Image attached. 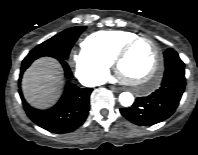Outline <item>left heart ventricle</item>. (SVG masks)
Wrapping results in <instances>:
<instances>
[{"label": "left heart ventricle", "instance_id": "obj_1", "mask_svg": "<svg viewBox=\"0 0 198 155\" xmlns=\"http://www.w3.org/2000/svg\"><path fill=\"white\" fill-rule=\"evenodd\" d=\"M155 62V50L147 41L138 42L121 61L119 70L123 78L141 83L151 72Z\"/></svg>", "mask_w": 198, "mask_h": 155}]
</instances>
